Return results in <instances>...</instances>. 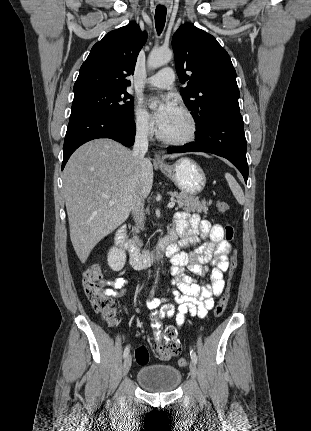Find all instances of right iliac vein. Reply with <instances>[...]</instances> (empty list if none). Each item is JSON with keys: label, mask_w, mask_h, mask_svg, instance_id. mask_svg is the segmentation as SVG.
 <instances>
[{"label": "right iliac vein", "mask_w": 311, "mask_h": 431, "mask_svg": "<svg viewBox=\"0 0 311 431\" xmlns=\"http://www.w3.org/2000/svg\"><path fill=\"white\" fill-rule=\"evenodd\" d=\"M131 363H132L131 355H127L125 357V360H124V363H123V375L124 376L129 372L130 367H131Z\"/></svg>", "instance_id": "right-iliac-vein-1"}]
</instances>
